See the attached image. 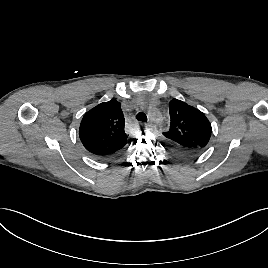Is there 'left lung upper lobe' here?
Instances as JSON below:
<instances>
[{
    "mask_svg": "<svg viewBox=\"0 0 268 268\" xmlns=\"http://www.w3.org/2000/svg\"><path fill=\"white\" fill-rule=\"evenodd\" d=\"M170 129L163 135L176 147L204 151L211 137L209 120L198 109L173 99L169 103Z\"/></svg>",
    "mask_w": 268,
    "mask_h": 268,
    "instance_id": "left-lung-upper-lobe-1",
    "label": "left lung upper lobe"
}]
</instances>
